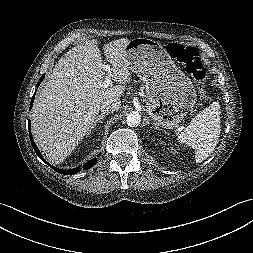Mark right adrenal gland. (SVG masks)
Masks as SVG:
<instances>
[{
    "label": "right adrenal gland",
    "instance_id": "2a0ac1e0",
    "mask_svg": "<svg viewBox=\"0 0 253 253\" xmlns=\"http://www.w3.org/2000/svg\"><path fill=\"white\" fill-rule=\"evenodd\" d=\"M106 115L105 114H100L99 116H98V118H97V120L95 121V126L98 124V125H100L101 123H102V120L104 119V117H105Z\"/></svg>",
    "mask_w": 253,
    "mask_h": 253
}]
</instances>
